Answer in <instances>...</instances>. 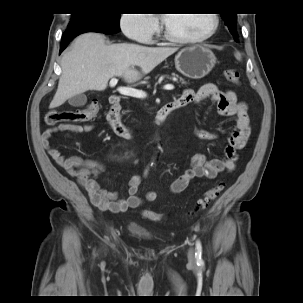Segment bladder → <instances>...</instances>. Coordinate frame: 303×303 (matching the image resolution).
<instances>
[{"label":"bladder","mask_w":303,"mask_h":303,"mask_svg":"<svg viewBox=\"0 0 303 303\" xmlns=\"http://www.w3.org/2000/svg\"><path fill=\"white\" fill-rule=\"evenodd\" d=\"M129 232L136 237H142L145 239L151 238V235L148 233L147 229L138 223H131L129 225Z\"/></svg>","instance_id":"31cf9c89"}]
</instances>
